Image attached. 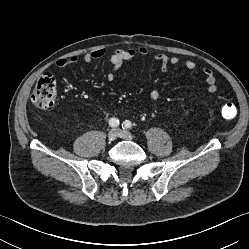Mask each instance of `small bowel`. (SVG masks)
Wrapping results in <instances>:
<instances>
[{
  "label": "small bowel",
  "mask_w": 249,
  "mask_h": 249,
  "mask_svg": "<svg viewBox=\"0 0 249 249\" xmlns=\"http://www.w3.org/2000/svg\"><path fill=\"white\" fill-rule=\"evenodd\" d=\"M149 51L146 48L132 49V48H117L109 55V62L111 64V70L107 75V79L109 81L114 80L116 73L122 67V65L131 59H133L136 55L147 56ZM106 56V50L104 49H96L92 52H89L83 56V60L86 63H90L95 60L102 59ZM154 60L160 64L161 71L164 74H168L170 72L171 66L182 65L187 70L193 71L197 68V64L191 59H183L178 56H171L167 53L159 52L154 54ZM76 56L60 58L56 61V66L59 68H64L68 65L74 64L77 62ZM202 74L205 78V82L207 84V91L209 93H214L217 90L216 77L214 72L208 68H202ZM150 98L153 102H158L160 100V93L157 89H153L150 92Z\"/></svg>",
  "instance_id": "obj_1"
}]
</instances>
